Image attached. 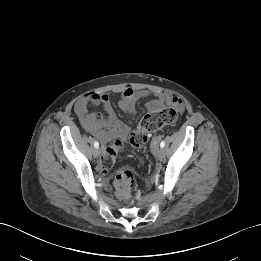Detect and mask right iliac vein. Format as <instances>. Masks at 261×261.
<instances>
[{
    "instance_id": "1",
    "label": "right iliac vein",
    "mask_w": 261,
    "mask_h": 261,
    "mask_svg": "<svg viewBox=\"0 0 261 261\" xmlns=\"http://www.w3.org/2000/svg\"><path fill=\"white\" fill-rule=\"evenodd\" d=\"M100 153H101V151H100V149H98V148H95L94 151H93V155H94L95 157H98V156L100 155Z\"/></svg>"
}]
</instances>
